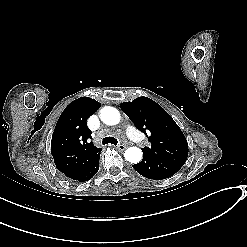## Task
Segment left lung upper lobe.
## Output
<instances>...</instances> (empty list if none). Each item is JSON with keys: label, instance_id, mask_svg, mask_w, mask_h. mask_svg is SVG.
<instances>
[{"label": "left lung upper lobe", "instance_id": "1", "mask_svg": "<svg viewBox=\"0 0 247 247\" xmlns=\"http://www.w3.org/2000/svg\"><path fill=\"white\" fill-rule=\"evenodd\" d=\"M121 109L151 143L143 153L183 166L188 156L187 140L173 118L155 101L138 97L121 103ZM149 135V136H148Z\"/></svg>", "mask_w": 247, "mask_h": 247}]
</instances>
